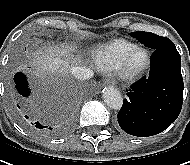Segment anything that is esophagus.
Here are the masks:
<instances>
[{"label":"esophagus","mask_w":190,"mask_h":165,"mask_svg":"<svg viewBox=\"0 0 190 165\" xmlns=\"http://www.w3.org/2000/svg\"><path fill=\"white\" fill-rule=\"evenodd\" d=\"M104 84L113 85V84H115V81L113 79H111V78H106L104 80Z\"/></svg>","instance_id":"34e87169"}]
</instances>
